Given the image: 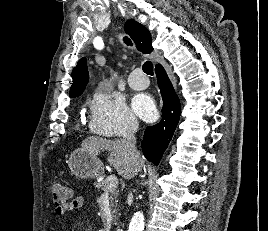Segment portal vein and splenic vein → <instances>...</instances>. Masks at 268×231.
Wrapping results in <instances>:
<instances>
[{"label":"portal vein and splenic vein","instance_id":"obj_1","mask_svg":"<svg viewBox=\"0 0 268 231\" xmlns=\"http://www.w3.org/2000/svg\"><path fill=\"white\" fill-rule=\"evenodd\" d=\"M107 183H108L107 186L108 190H111L118 184V179L115 175L111 174L110 176L107 177Z\"/></svg>","mask_w":268,"mask_h":231}]
</instances>
